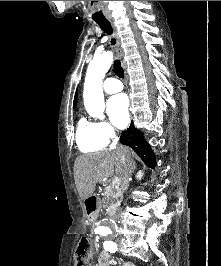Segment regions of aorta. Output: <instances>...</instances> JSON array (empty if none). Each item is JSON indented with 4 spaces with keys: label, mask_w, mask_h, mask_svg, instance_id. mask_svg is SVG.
<instances>
[{
    "label": "aorta",
    "mask_w": 221,
    "mask_h": 266,
    "mask_svg": "<svg viewBox=\"0 0 221 266\" xmlns=\"http://www.w3.org/2000/svg\"><path fill=\"white\" fill-rule=\"evenodd\" d=\"M113 61L112 53L107 51L97 55L90 61L83 90L84 105L87 112L93 116L102 118L105 109L102 81ZM100 231H114L112 226H100Z\"/></svg>",
    "instance_id": "aorta-1"
}]
</instances>
